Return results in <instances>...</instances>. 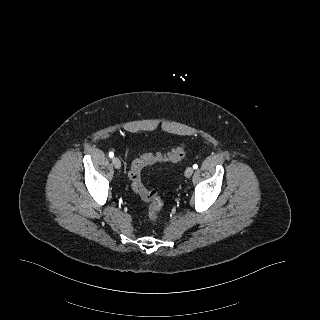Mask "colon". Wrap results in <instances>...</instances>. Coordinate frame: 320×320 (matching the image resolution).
<instances>
[{
  "label": "colon",
  "mask_w": 320,
  "mask_h": 320,
  "mask_svg": "<svg viewBox=\"0 0 320 320\" xmlns=\"http://www.w3.org/2000/svg\"><path fill=\"white\" fill-rule=\"evenodd\" d=\"M186 146L179 144L167 153H146L135 159L129 170V178L132 189L143 201L148 204V218L150 221H156L163 208V201L156 190L147 189L141 180V171L144 167L165 162H178L185 156Z\"/></svg>",
  "instance_id": "obj_1"
}]
</instances>
